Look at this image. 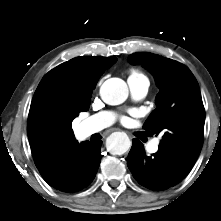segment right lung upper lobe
Returning <instances> with one entry per match:
<instances>
[{"mask_svg": "<svg viewBox=\"0 0 221 221\" xmlns=\"http://www.w3.org/2000/svg\"><path fill=\"white\" fill-rule=\"evenodd\" d=\"M116 57H76L49 71L30 106L27 133L39 172L55 164L77 140L72 121L87 111L93 89Z\"/></svg>", "mask_w": 221, "mask_h": 221, "instance_id": "cb5924a9", "label": "right lung upper lobe"}]
</instances>
